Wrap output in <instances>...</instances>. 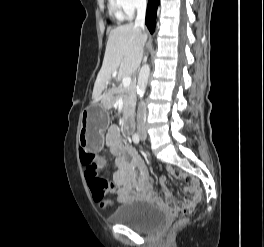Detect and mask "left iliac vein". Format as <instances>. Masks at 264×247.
<instances>
[{
    "instance_id": "obj_1",
    "label": "left iliac vein",
    "mask_w": 264,
    "mask_h": 247,
    "mask_svg": "<svg viewBox=\"0 0 264 247\" xmlns=\"http://www.w3.org/2000/svg\"><path fill=\"white\" fill-rule=\"evenodd\" d=\"M142 140H145V135L142 136Z\"/></svg>"
}]
</instances>
